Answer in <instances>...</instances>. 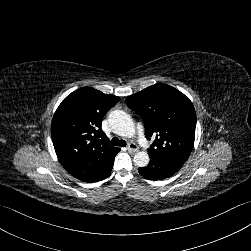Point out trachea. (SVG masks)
Segmentation results:
<instances>
[{
  "label": "trachea",
  "mask_w": 251,
  "mask_h": 251,
  "mask_svg": "<svg viewBox=\"0 0 251 251\" xmlns=\"http://www.w3.org/2000/svg\"><path fill=\"white\" fill-rule=\"evenodd\" d=\"M111 145L112 146L125 147L126 146V142L124 140H119L118 138L114 137L111 140Z\"/></svg>",
  "instance_id": "trachea-1"
}]
</instances>
